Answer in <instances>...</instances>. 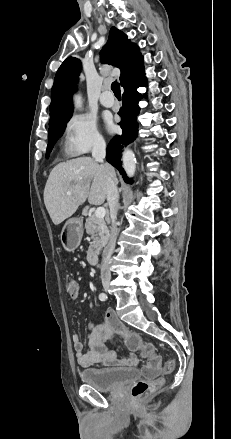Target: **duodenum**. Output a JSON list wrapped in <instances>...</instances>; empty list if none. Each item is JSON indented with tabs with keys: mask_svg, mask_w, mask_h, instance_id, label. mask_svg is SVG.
I'll return each instance as SVG.
<instances>
[{
	"mask_svg": "<svg viewBox=\"0 0 231 439\" xmlns=\"http://www.w3.org/2000/svg\"><path fill=\"white\" fill-rule=\"evenodd\" d=\"M87 261L89 264L95 266L98 263V253L95 248H91L87 252Z\"/></svg>",
	"mask_w": 231,
	"mask_h": 439,
	"instance_id": "duodenum-1",
	"label": "duodenum"
}]
</instances>
